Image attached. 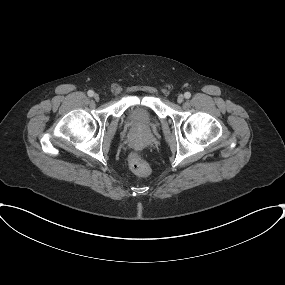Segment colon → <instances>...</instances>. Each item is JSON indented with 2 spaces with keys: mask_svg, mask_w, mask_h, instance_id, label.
<instances>
[{
  "mask_svg": "<svg viewBox=\"0 0 285 285\" xmlns=\"http://www.w3.org/2000/svg\"><path fill=\"white\" fill-rule=\"evenodd\" d=\"M129 168L138 176L145 177L150 173L147 162L137 154H132L128 159Z\"/></svg>",
  "mask_w": 285,
  "mask_h": 285,
  "instance_id": "colon-1",
  "label": "colon"
}]
</instances>
